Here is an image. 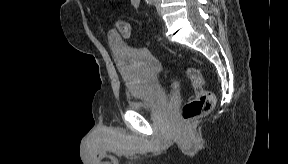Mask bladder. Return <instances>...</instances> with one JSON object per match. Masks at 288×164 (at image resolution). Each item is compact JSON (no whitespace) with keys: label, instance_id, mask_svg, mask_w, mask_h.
Masks as SVG:
<instances>
[{"label":"bladder","instance_id":"bladder-1","mask_svg":"<svg viewBox=\"0 0 288 164\" xmlns=\"http://www.w3.org/2000/svg\"><path fill=\"white\" fill-rule=\"evenodd\" d=\"M109 44L120 67L129 93V108L150 113L169 101V96L157 78L158 61L150 53L130 47L121 38L111 36Z\"/></svg>","mask_w":288,"mask_h":164}]
</instances>
